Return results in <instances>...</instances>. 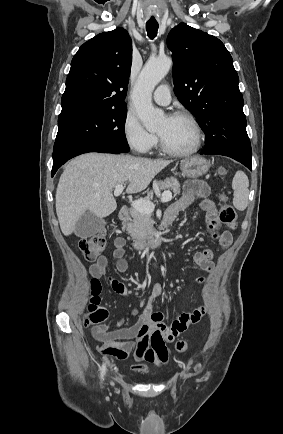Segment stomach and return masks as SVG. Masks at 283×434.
<instances>
[{
	"mask_svg": "<svg viewBox=\"0 0 283 434\" xmlns=\"http://www.w3.org/2000/svg\"><path fill=\"white\" fill-rule=\"evenodd\" d=\"M209 162L200 156L183 159L180 163L182 175L187 178H197L209 170Z\"/></svg>",
	"mask_w": 283,
	"mask_h": 434,
	"instance_id": "stomach-1",
	"label": "stomach"
}]
</instances>
